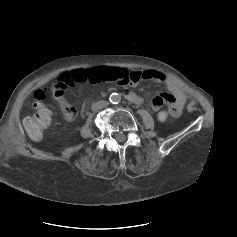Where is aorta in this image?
I'll list each match as a JSON object with an SVG mask.
<instances>
[{
    "mask_svg": "<svg viewBox=\"0 0 237 237\" xmlns=\"http://www.w3.org/2000/svg\"><path fill=\"white\" fill-rule=\"evenodd\" d=\"M109 100L112 104H118L121 101V96L118 93H112Z\"/></svg>",
    "mask_w": 237,
    "mask_h": 237,
    "instance_id": "762f6f07",
    "label": "aorta"
}]
</instances>
